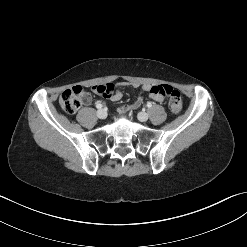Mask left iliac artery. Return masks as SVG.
<instances>
[{
	"instance_id": "left-iliac-artery-1",
	"label": "left iliac artery",
	"mask_w": 247,
	"mask_h": 247,
	"mask_svg": "<svg viewBox=\"0 0 247 247\" xmlns=\"http://www.w3.org/2000/svg\"><path fill=\"white\" fill-rule=\"evenodd\" d=\"M147 107L148 108H151L152 107V104L150 102L147 103Z\"/></svg>"
}]
</instances>
